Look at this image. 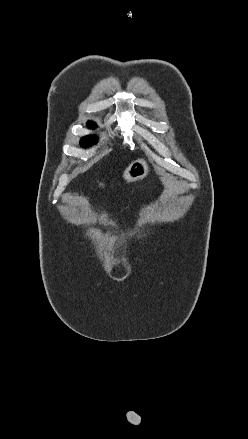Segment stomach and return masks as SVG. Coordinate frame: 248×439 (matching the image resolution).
Here are the masks:
<instances>
[{
    "label": "stomach",
    "mask_w": 248,
    "mask_h": 439,
    "mask_svg": "<svg viewBox=\"0 0 248 439\" xmlns=\"http://www.w3.org/2000/svg\"><path fill=\"white\" fill-rule=\"evenodd\" d=\"M150 172L148 163L144 158L134 160L124 171L123 178L127 183L142 180Z\"/></svg>",
    "instance_id": "obj_1"
}]
</instances>
